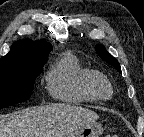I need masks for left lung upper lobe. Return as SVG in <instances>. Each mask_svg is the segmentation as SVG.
Wrapping results in <instances>:
<instances>
[{"label":"left lung upper lobe","instance_id":"obj_1","mask_svg":"<svg viewBox=\"0 0 144 137\" xmlns=\"http://www.w3.org/2000/svg\"><path fill=\"white\" fill-rule=\"evenodd\" d=\"M98 55L108 63L112 64L119 72H121L120 65L118 61L109 55V53L106 51L105 47L102 45H96L95 47Z\"/></svg>","mask_w":144,"mask_h":137}]
</instances>
